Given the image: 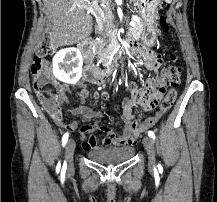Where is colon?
Listing matches in <instances>:
<instances>
[{
    "label": "colon",
    "mask_w": 217,
    "mask_h": 202,
    "mask_svg": "<svg viewBox=\"0 0 217 202\" xmlns=\"http://www.w3.org/2000/svg\"><path fill=\"white\" fill-rule=\"evenodd\" d=\"M159 27L160 30L166 34L169 32V25L166 21L164 15H161L159 18ZM51 41H54V36H41V41H39V46H51ZM169 57L171 60H177L178 56L174 51H171L168 48ZM45 49H35V54H45ZM45 55H37L33 58L31 64V73L34 76V89L37 92L40 103H43L48 111L53 112L51 114V119H57L62 114L59 111L62 108V103H67V98L64 93H55L56 91H64V86H54L60 85V80H51V73H49V68H55V63H52L51 59H45ZM50 72H54V69H50ZM160 77L157 82H162V88L164 85H173L178 86L182 78V67L179 65H172L160 69L157 73ZM150 88H159V87H150ZM139 95H151V96H135V99L140 102H158L159 99H162V96L159 95V90H139ZM159 95V96H153ZM177 97L175 90H171L168 94V99L164 100V106L159 107V113L154 115L153 118H146L144 121H141L143 124L139 127V131L145 132L150 127L154 126L159 120L160 116L165 113L173 105ZM146 108V107H144ZM57 128H68L71 131L75 132L76 129L71 127L70 124L66 123H57ZM90 129L89 126H86L81 129L82 132H87Z\"/></svg>",
    "instance_id": "obj_1"
}]
</instances>
